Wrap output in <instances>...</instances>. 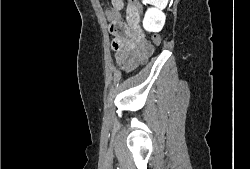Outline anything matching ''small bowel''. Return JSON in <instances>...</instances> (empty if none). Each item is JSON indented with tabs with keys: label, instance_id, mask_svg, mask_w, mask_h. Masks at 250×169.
I'll list each match as a JSON object with an SVG mask.
<instances>
[{
	"label": "small bowel",
	"instance_id": "1",
	"mask_svg": "<svg viewBox=\"0 0 250 169\" xmlns=\"http://www.w3.org/2000/svg\"><path fill=\"white\" fill-rule=\"evenodd\" d=\"M119 8L113 5L108 17L113 22L120 21L121 13ZM117 34V33H116ZM113 49L118 65L124 70L135 68L141 61L152 53V47L137 38L133 32L117 34L113 41Z\"/></svg>",
	"mask_w": 250,
	"mask_h": 169
}]
</instances>
